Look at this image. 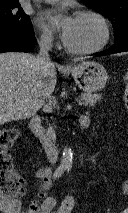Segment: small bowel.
<instances>
[{"label":"small bowel","instance_id":"c3829d8e","mask_svg":"<svg viewBox=\"0 0 128 213\" xmlns=\"http://www.w3.org/2000/svg\"><path fill=\"white\" fill-rule=\"evenodd\" d=\"M37 194L31 202L26 213H57L58 202L50 196L52 170L49 167H42L36 172ZM1 213H21V202L19 200H1Z\"/></svg>","mask_w":128,"mask_h":213}]
</instances>
